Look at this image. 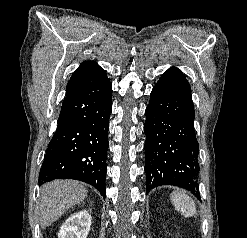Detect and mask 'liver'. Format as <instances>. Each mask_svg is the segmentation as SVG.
Here are the masks:
<instances>
[{
    "mask_svg": "<svg viewBox=\"0 0 247 238\" xmlns=\"http://www.w3.org/2000/svg\"><path fill=\"white\" fill-rule=\"evenodd\" d=\"M86 196L87 190L76 181L55 180L43 185L38 206L41 227L44 229L50 226Z\"/></svg>",
    "mask_w": 247,
    "mask_h": 238,
    "instance_id": "liver-1",
    "label": "liver"
}]
</instances>
